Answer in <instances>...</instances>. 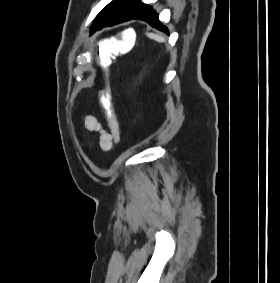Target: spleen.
<instances>
[{"label":"spleen","mask_w":280,"mask_h":283,"mask_svg":"<svg viewBox=\"0 0 280 283\" xmlns=\"http://www.w3.org/2000/svg\"><path fill=\"white\" fill-rule=\"evenodd\" d=\"M146 35H147V37H149L150 39H153V40H155V41H157V42H160V43H162V42L165 41V39H164L163 36L158 35V34H155V33H146Z\"/></svg>","instance_id":"3e777b00"}]
</instances>
